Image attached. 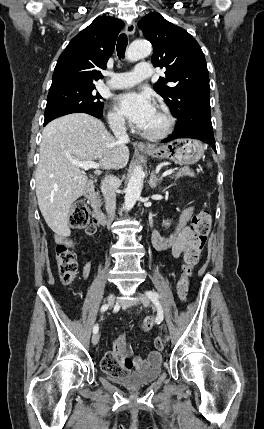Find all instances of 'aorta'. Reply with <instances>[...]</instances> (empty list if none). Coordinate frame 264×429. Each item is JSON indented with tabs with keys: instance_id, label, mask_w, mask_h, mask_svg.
<instances>
[{
	"instance_id": "762f6f07",
	"label": "aorta",
	"mask_w": 264,
	"mask_h": 429,
	"mask_svg": "<svg viewBox=\"0 0 264 429\" xmlns=\"http://www.w3.org/2000/svg\"><path fill=\"white\" fill-rule=\"evenodd\" d=\"M151 52L152 47L148 41L136 40L130 44L126 57L129 61L133 62L148 57ZM144 176L145 174L142 167L137 166L128 181L124 198V210H131L137 199L140 197L143 188Z\"/></svg>"
}]
</instances>
